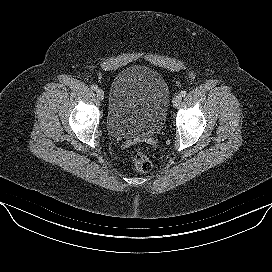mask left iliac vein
I'll list each match as a JSON object with an SVG mask.
<instances>
[{"label":"left iliac vein","instance_id":"obj_1","mask_svg":"<svg viewBox=\"0 0 272 272\" xmlns=\"http://www.w3.org/2000/svg\"><path fill=\"white\" fill-rule=\"evenodd\" d=\"M181 101H182V96L181 95H176L174 98H173V105L175 106V107H177V106H179L180 105V103H181Z\"/></svg>","mask_w":272,"mask_h":272}]
</instances>
